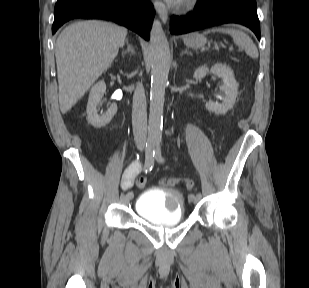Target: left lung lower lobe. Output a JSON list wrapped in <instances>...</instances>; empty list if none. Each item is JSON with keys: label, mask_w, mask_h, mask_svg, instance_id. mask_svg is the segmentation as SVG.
Returning <instances> with one entry per match:
<instances>
[{"label": "left lung lower lobe", "mask_w": 309, "mask_h": 288, "mask_svg": "<svg viewBox=\"0 0 309 288\" xmlns=\"http://www.w3.org/2000/svg\"><path fill=\"white\" fill-rule=\"evenodd\" d=\"M239 23L250 28L260 40V24L255 0H198L196 11L170 20L171 34L224 24Z\"/></svg>", "instance_id": "left-lung-lower-lobe-1"}]
</instances>
